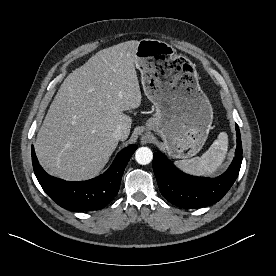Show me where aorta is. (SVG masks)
<instances>
[{
    "label": "aorta",
    "instance_id": "762f6f07",
    "mask_svg": "<svg viewBox=\"0 0 276 276\" xmlns=\"http://www.w3.org/2000/svg\"><path fill=\"white\" fill-rule=\"evenodd\" d=\"M135 159L141 165L149 164L153 159V153L148 147H140L135 152Z\"/></svg>",
    "mask_w": 276,
    "mask_h": 276
}]
</instances>
